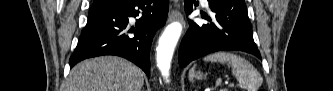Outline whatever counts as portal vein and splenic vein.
Wrapping results in <instances>:
<instances>
[{
	"mask_svg": "<svg viewBox=\"0 0 333 91\" xmlns=\"http://www.w3.org/2000/svg\"><path fill=\"white\" fill-rule=\"evenodd\" d=\"M221 83V80H217L216 85L218 86ZM230 86H233V84H229Z\"/></svg>",
	"mask_w": 333,
	"mask_h": 91,
	"instance_id": "obj_1",
	"label": "portal vein and splenic vein"
}]
</instances>
